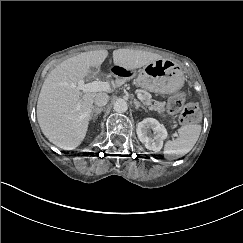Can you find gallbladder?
Listing matches in <instances>:
<instances>
[{
	"instance_id": "bac80fb5",
	"label": "gallbladder",
	"mask_w": 243,
	"mask_h": 243,
	"mask_svg": "<svg viewBox=\"0 0 243 243\" xmlns=\"http://www.w3.org/2000/svg\"><path fill=\"white\" fill-rule=\"evenodd\" d=\"M90 72H91L92 75L97 74L99 72V68L98 67H92Z\"/></svg>"
}]
</instances>
